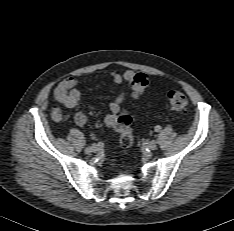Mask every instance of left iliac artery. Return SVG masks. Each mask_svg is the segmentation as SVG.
Instances as JSON below:
<instances>
[{"mask_svg":"<svg viewBox=\"0 0 234 231\" xmlns=\"http://www.w3.org/2000/svg\"><path fill=\"white\" fill-rule=\"evenodd\" d=\"M155 131L160 132L161 131V126H159V125L155 126Z\"/></svg>","mask_w":234,"mask_h":231,"instance_id":"1","label":"left iliac artery"}]
</instances>
